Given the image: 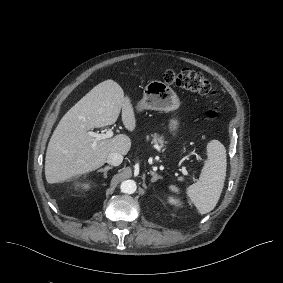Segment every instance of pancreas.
<instances>
[{
	"mask_svg": "<svg viewBox=\"0 0 283 283\" xmlns=\"http://www.w3.org/2000/svg\"><path fill=\"white\" fill-rule=\"evenodd\" d=\"M150 137H151L152 145L157 144L161 148L162 152L167 151L168 141H167L166 135L153 132L150 134ZM147 139H150V138L148 137Z\"/></svg>",
	"mask_w": 283,
	"mask_h": 283,
	"instance_id": "1",
	"label": "pancreas"
}]
</instances>
